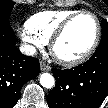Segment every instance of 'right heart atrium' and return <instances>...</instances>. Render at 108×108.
Wrapping results in <instances>:
<instances>
[{
	"label": "right heart atrium",
	"instance_id": "1",
	"mask_svg": "<svg viewBox=\"0 0 108 108\" xmlns=\"http://www.w3.org/2000/svg\"><path fill=\"white\" fill-rule=\"evenodd\" d=\"M22 40L33 50L40 49L44 42L29 31L27 26L23 27L20 31Z\"/></svg>",
	"mask_w": 108,
	"mask_h": 108
}]
</instances>
